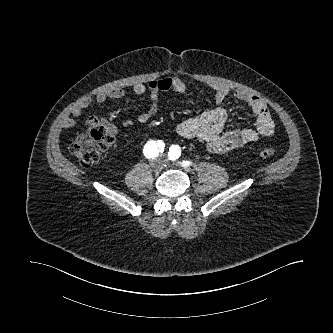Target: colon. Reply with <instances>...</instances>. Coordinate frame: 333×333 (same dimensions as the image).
<instances>
[{
    "instance_id": "obj_1",
    "label": "colon",
    "mask_w": 333,
    "mask_h": 333,
    "mask_svg": "<svg viewBox=\"0 0 333 333\" xmlns=\"http://www.w3.org/2000/svg\"><path fill=\"white\" fill-rule=\"evenodd\" d=\"M115 140V133L104 126L94 125L85 133L78 135L71 143L70 150L83 165L99 162ZM271 147L259 149L255 155L268 159L274 156Z\"/></svg>"
}]
</instances>
